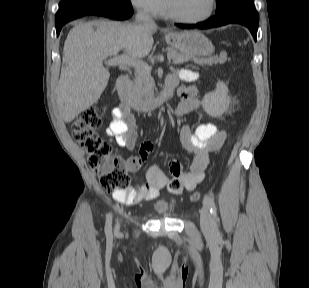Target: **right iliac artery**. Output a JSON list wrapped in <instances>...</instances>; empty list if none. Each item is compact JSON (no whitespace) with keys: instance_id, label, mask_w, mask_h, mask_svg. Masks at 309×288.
<instances>
[{"instance_id":"1","label":"right iliac artery","mask_w":309,"mask_h":288,"mask_svg":"<svg viewBox=\"0 0 309 288\" xmlns=\"http://www.w3.org/2000/svg\"><path fill=\"white\" fill-rule=\"evenodd\" d=\"M111 231V214L109 213L107 215V221H106V227H105V232L110 233Z\"/></svg>"}]
</instances>
